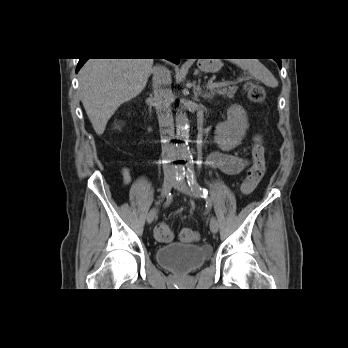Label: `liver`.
I'll return each instance as SVG.
<instances>
[{
	"label": "liver",
	"mask_w": 348,
	"mask_h": 348,
	"mask_svg": "<svg viewBox=\"0 0 348 348\" xmlns=\"http://www.w3.org/2000/svg\"><path fill=\"white\" fill-rule=\"evenodd\" d=\"M153 59H89L79 72V93L98 135L123 103L146 86Z\"/></svg>",
	"instance_id": "1"
}]
</instances>
